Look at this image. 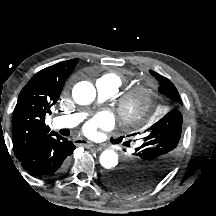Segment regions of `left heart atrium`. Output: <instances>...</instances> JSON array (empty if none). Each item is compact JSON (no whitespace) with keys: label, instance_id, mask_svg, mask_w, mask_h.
Here are the masks:
<instances>
[{"label":"left heart atrium","instance_id":"left-heart-atrium-1","mask_svg":"<svg viewBox=\"0 0 216 216\" xmlns=\"http://www.w3.org/2000/svg\"><path fill=\"white\" fill-rule=\"evenodd\" d=\"M113 124V117L108 112H101L85 124L84 131L86 134L92 136L97 133L98 129L108 130Z\"/></svg>","mask_w":216,"mask_h":216}]
</instances>
